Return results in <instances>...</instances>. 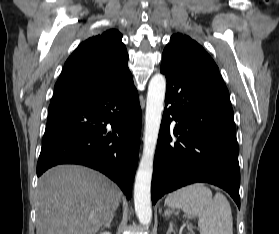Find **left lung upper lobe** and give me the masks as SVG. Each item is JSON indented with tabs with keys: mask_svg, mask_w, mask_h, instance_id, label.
Listing matches in <instances>:
<instances>
[{
	"mask_svg": "<svg viewBox=\"0 0 279 234\" xmlns=\"http://www.w3.org/2000/svg\"><path fill=\"white\" fill-rule=\"evenodd\" d=\"M163 53H168L196 69L219 73L217 65L204 48L187 35H172Z\"/></svg>",
	"mask_w": 279,
	"mask_h": 234,
	"instance_id": "left-lung-upper-lobe-1",
	"label": "left lung upper lobe"
}]
</instances>
